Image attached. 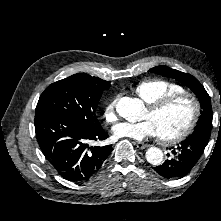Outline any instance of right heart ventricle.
<instances>
[{
  "instance_id": "1",
  "label": "right heart ventricle",
  "mask_w": 221,
  "mask_h": 221,
  "mask_svg": "<svg viewBox=\"0 0 221 221\" xmlns=\"http://www.w3.org/2000/svg\"><path fill=\"white\" fill-rule=\"evenodd\" d=\"M135 92L142 100L151 104L164 96L184 92V89L165 79H150L139 82Z\"/></svg>"
}]
</instances>
